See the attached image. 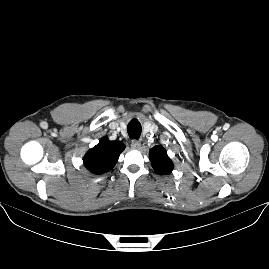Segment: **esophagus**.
Returning a JSON list of instances; mask_svg holds the SVG:
<instances>
[{"mask_svg": "<svg viewBox=\"0 0 269 269\" xmlns=\"http://www.w3.org/2000/svg\"><path fill=\"white\" fill-rule=\"evenodd\" d=\"M141 147V142L139 140H132L131 148L134 150H138Z\"/></svg>", "mask_w": 269, "mask_h": 269, "instance_id": "1", "label": "esophagus"}]
</instances>
